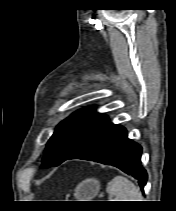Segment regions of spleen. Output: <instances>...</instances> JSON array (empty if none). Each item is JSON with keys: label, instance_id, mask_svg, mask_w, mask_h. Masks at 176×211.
<instances>
[{"label": "spleen", "instance_id": "1", "mask_svg": "<svg viewBox=\"0 0 176 211\" xmlns=\"http://www.w3.org/2000/svg\"><path fill=\"white\" fill-rule=\"evenodd\" d=\"M110 201H143L139 188L124 176H116L107 184ZM114 198V200H112Z\"/></svg>", "mask_w": 176, "mask_h": 211}]
</instances>
